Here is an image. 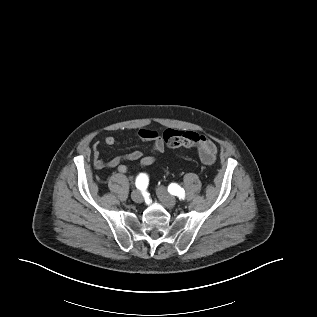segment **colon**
Here are the masks:
<instances>
[{
  "label": "colon",
  "mask_w": 317,
  "mask_h": 317,
  "mask_svg": "<svg viewBox=\"0 0 317 317\" xmlns=\"http://www.w3.org/2000/svg\"><path fill=\"white\" fill-rule=\"evenodd\" d=\"M161 138L171 149L193 147L198 145L200 141V135L196 132L175 129H166Z\"/></svg>",
  "instance_id": "5ec220e1"
}]
</instances>
